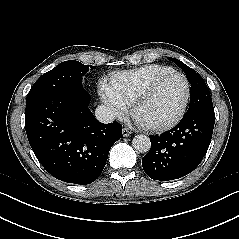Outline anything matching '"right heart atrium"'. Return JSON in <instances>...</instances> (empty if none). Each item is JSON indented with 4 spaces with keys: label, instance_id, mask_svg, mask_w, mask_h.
I'll list each match as a JSON object with an SVG mask.
<instances>
[{
    "label": "right heart atrium",
    "instance_id": "1",
    "mask_svg": "<svg viewBox=\"0 0 239 239\" xmlns=\"http://www.w3.org/2000/svg\"><path fill=\"white\" fill-rule=\"evenodd\" d=\"M99 94L111 116L123 118L128 113V105L118 96L110 84L102 82L99 85Z\"/></svg>",
    "mask_w": 239,
    "mask_h": 239
}]
</instances>
